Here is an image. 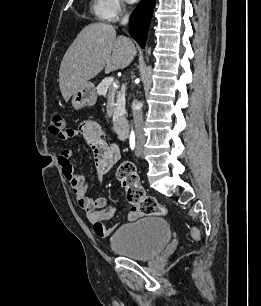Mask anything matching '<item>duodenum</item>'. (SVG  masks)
Listing matches in <instances>:
<instances>
[{
	"mask_svg": "<svg viewBox=\"0 0 261 306\" xmlns=\"http://www.w3.org/2000/svg\"><path fill=\"white\" fill-rule=\"evenodd\" d=\"M114 129L119 136L127 138L130 133V125L125 118L118 117L114 120Z\"/></svg>",
	"mask_w": 261,
	"mask_h": 306,
	"instance_id": "obj_1",
	"label": "duodenum"
}]
</instances>
